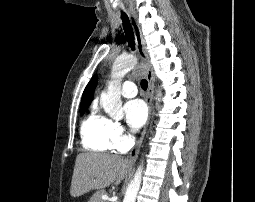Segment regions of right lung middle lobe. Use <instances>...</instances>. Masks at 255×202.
<instances>
[{
    "label": "right lung middle lobe",
    "instance_id": "1",
    "mask_svg": "<svg viewBox=\"0 0 255 202\" xmlns=\"http://www.w3.org/2000/svg\"><path fill=\"white\" fill-rule=\"evenodd\" d=\"M87 108H88V105H81L80 106V113L83 114L86 111Z\"/></svg>",
    "mask_w": 255,
    "mask_h": 202
}]
</instances>
